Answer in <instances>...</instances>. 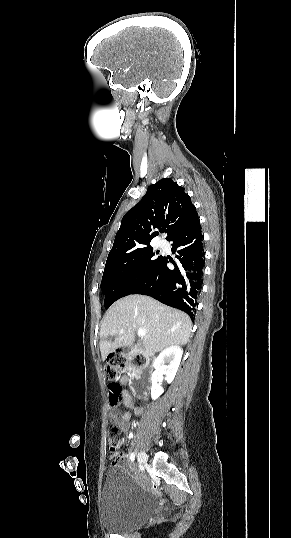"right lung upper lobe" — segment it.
I'll return each mask as SVG.
<instances>
[{"label":"right lung upper lobe","instance_id":"right-lung-upper-lobe-1","mask_svg":"<svg viewBox=\"0 0 291 538\" xmlns=\"http://www.w3.org/2000/svg\"><path fill=\"white\" fill-rule=\"evenodd\" d=\"M197 222L190 196L172 179H161L149 186L141 201L124 215L108 258L150 247L156 229L166 228L169 240Z\"/></svg>","mask_w":291,"mask_h":538}]
</instances>
